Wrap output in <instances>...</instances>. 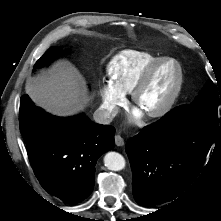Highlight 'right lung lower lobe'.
I'll use <instances>...</instances> for the list:
<instances>
[{
  "label": "right lung lower lobe",
  "mask_w": 221,
  "mask_h": 221,
  "mask_svg": "<svg viewBox=\"0 0 221 221\" xmlns=\"http://www.w3.org/2000/svg\"><path fill=\"white\" fill-rule=\"evenodd\" d=\"M20 132L33 171L42 187L68 204L87 198L94 187L99 156L115 145V128L85 115L57 117L20 100Z\"/></svg>",
  "instance_id": "98d812e1"
}]
</instances>
